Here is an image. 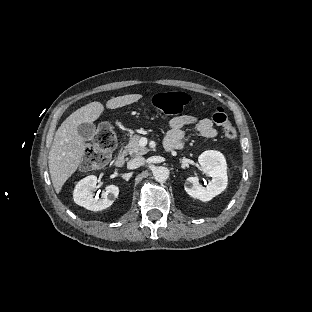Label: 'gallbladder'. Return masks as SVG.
I'll return each instance as SVG.
<instances>
[{"instance_id": "obj_1", "label": "gallbladder", "mask_w": 312, "mask_h": 312, "mask_svg": "<svg viewBox=\"0 0 312 312\" xmlns=\"http://www.w3.org/2000/svg\"><path fill=\"white\" fill-rule=\"evenodd\" d=\"M95 130V125L89 122L81 123L77 128L78 134L86 141H90L94 137Z\"/></svg>"}]
</instances>
